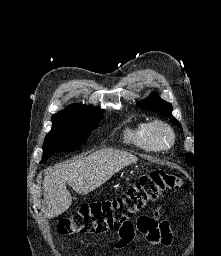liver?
I'll return each mask as SVG.
<instances>
[{
  "mask_svg": "<svg viewBox=\"0 0 221 256\" xmlns=\"http://www.w3.org/2000/svg\"><path fill=\"white\" fill-rule=\"evenodd\" d=\"M137 161V157L131 153L103 149L48 169L43 181L48 217H56L71 206L72 196L66 188V183L76 193L85 195L103 185L124 167Z\"/></svg>",
  "mask_w": 221,
  "mask_h": 256,
  "instance_id": "6515ba94",
  "label": "liver"
}]
</instances>
